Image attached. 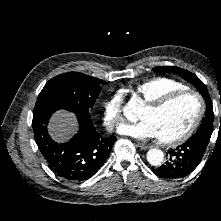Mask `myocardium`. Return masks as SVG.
Segmentation results:
<instances>
[{"label": "myocardium", "instance_id": "1", "mask_svg": "<svg viewBox=\"0 0 221 221\" xmlns=\"http://www.w3.org/2000/svg\"><path fill=\"white\" fill-rule=\"evenodd\" d=\"M185 95H191V96L195 97V99L197 100V102H198L197 115H196L195 119L193 120V122L190 124V126L182 134H180L172 139H168V140L158 139V142L162 145L176 146V145H179V144L185 142L193 135V133L196 131V129L198 128V126L200 125V123L204 117L205 101L199 92L192 90V89H182V90H177V91L167 93V94L163 95L162 97L158 98L157 100H155L153 102L146 103V105H145L146 108H148L152 111H159V110H162L163 108H165L167 105H169L171 102H173L177 98L185 96Z\"/></svg>", "mask_w": 221, "mask_h": 221}]
</instances>
